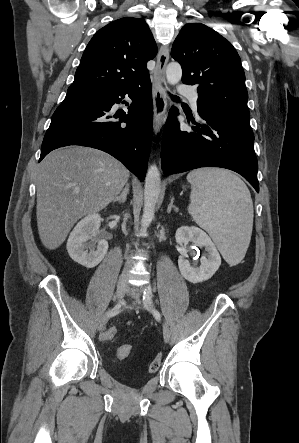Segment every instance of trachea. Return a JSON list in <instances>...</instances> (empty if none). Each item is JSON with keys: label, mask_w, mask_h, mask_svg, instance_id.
<instances>
[{"label": "trachea", "mask_w": 299, "mask_h": 443, "mask_svg": "<svg viewBox=\"0 0 299 443\" xmlns=\"http://www.w3.org/2000/svg\"><path fill=\"white\" fill-rule=\"evenodd\" d=\"M171 97H172V99L175 100V101H178V100H179V97H177V96H175V95H171Z\"/></svg>", "instance_id": "obj_1"}]
</instances>
